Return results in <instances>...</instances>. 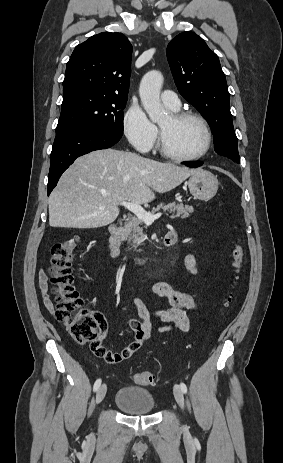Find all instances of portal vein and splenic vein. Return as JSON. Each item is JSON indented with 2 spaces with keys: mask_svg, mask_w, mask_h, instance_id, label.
<instances>
[{
  "mask_svg": "<svg viewBox=\"0 0 283 463\" xmlns=\"http://www.w3.org/2000/svg\"><path fill=\"white\" fill-rule=\"evenodd\" d=\"M120 205L124 206L128 210H130L132 213H134L139 219L143 220L146 224H152L154 220L158 219L162 213H157V214H151L150 212H147L143 207H141L139 204L132 203L130 201H123L120 203Z\"/></svg>",
  "mask_w": 283,
  "mask_h": 463,
  "instance_id": "1",
  "label": "portal vein and splenic vein"
}]
</instances>
